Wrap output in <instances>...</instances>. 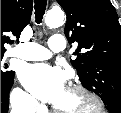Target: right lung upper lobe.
<instances>
[{"mask_svg":"<svg viewBox=\"0 0 121 113\" xmlns=\"http://www.w3.org/2000/svg\"><path fill=\"white\" fill-rule=\"evenodd\" d=\"M32 8L33 0H1V52H5V43H13L8 35L19 38L30 21Z\"/></svg>","mask_w":121,"mask_h":113,"instance_id":"1","label":"right lung upper lobe"}]
</instances>
